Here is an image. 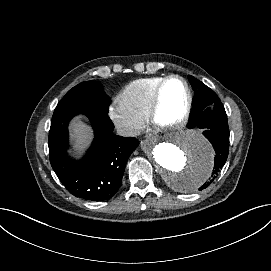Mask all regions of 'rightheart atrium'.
I'll return each instance as SVG.
<instances>
[{
  "mask_svg": "<svg viewBox=\"0 0 271 271\" xmlns=\"http://www.w3.org/2000/svg\"><path fill=\"white\" fill-rule=\"evenodd\" d=\"M108 113L116 125H125V132L128 136L138 135L145 127L144 120L132 114L119 97L111 102Z\"/></svg>",
  "mask_w": 271,
  "mask_h": 271,
  "instance_id": "d8ad5b80",
  "label": "right heart atrium"
}]
</instances>
